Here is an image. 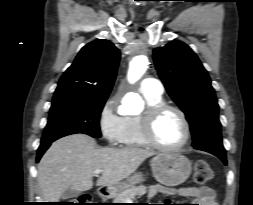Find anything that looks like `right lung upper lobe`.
<instances>
[{
  "label": "right lung upper lobe",
  "mask_w": 253,
  "mask_h": 205,
  "mask_svg": "<svg viewBox=\"0 0 253 205\" xmlns=\"http://www.w3.org/2000/svg\"><path fill=\"white\" fill-rule=\"evenodd\" d=\"M120 51L108 40L85 45L58 82L53 101L67 98L102 99L111 92Z\"/></svg>",
  "instance_id": "right-lung-upper-lobe-1"
}]
</instances>
